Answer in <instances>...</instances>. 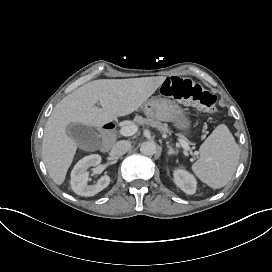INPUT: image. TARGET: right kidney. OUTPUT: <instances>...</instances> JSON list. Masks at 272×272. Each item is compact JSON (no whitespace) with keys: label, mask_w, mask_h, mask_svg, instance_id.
<instances>
[{"label":"right kidney","mask_w":272,"mask_h":272,"mask_svg":"<svg viewBox=\"0 0 272 272\" xmlns=\"http://www.w3.org/2000/svg\"><path fill=\"white\" fill-rule=\"evenodd\" d=\"M101 163V156L98 154H92L79 160L74 166L71 172V188L77 194L81 196H94L103 189H105L110 183V177L107 175L102 176L94 185H88L89 172L87 169L91 166L96 167ZM100 169H94V173H101Z\"/></svg>","instance_id":"ca27d5eb"}]
</instances>
